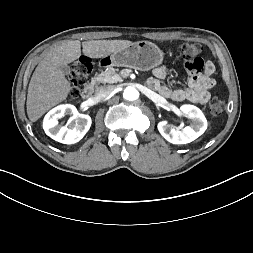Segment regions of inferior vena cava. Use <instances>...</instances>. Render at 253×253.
<instances>
[{
	"instance_id": "602c4592",
	"label": "inferior vena cava",
	"mask_w": 253,
	"mask_h": 253,
	"mask_svg": "<svg viewBox=\"0 0 253 253\" xmlns=\"http://www.w3.org/2000/svg\"><path fill=\"white\" fill-rule=\"evenodd\" d=\"M113 90V86H102L98 89L96 96L98 99H104L108 97L113 92Z\"/></svg>"
}]
</instances>
